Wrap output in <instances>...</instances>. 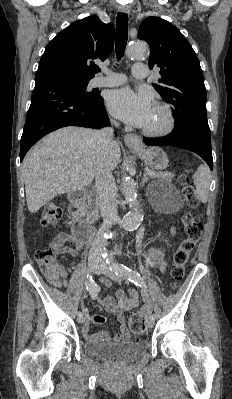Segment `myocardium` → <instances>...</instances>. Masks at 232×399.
I'll return each instance as SVG.
<instances>
[{"label":"myocardium","instance_id":"1","mask_svg":"<svg viewBox=\"0 0 232 399\" xmlns=\"http://www.w3.org/2000/svg\"><path fill=\"white\" fill-rule=\"evenodd\" d=\"M157 107L163 112L165 116V124L162 128L155 131L139 130V133L147 138H161L170 134L175 128V115L172 108L163 103H157Z\"/></svg>","mask_w":232,"mask_h":399}]
</instances>
